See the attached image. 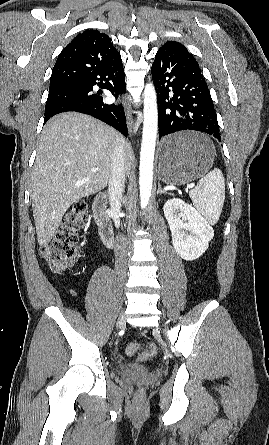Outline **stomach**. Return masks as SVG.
I'll use <instances>...</instances> for the list:
<instances>
[{
  "label": "stomach",
  "mask_w": 269,
  "mask_h": 445,
  "mask_svg": "<svg viewBox=\"0 0 269 445\" xmlns=\"http://www.w3.org/2000/svg\"><path fill=\"white\" fill-rule=\"evenodd\" d=\"M175 144L174 153L164 151ZM215 147L205 136L196 132H180L164 138L159 148V179L167 185H184L203 176L212 166Z\"/></svg>",
  "instance_id": "obj_1"
}]
</instances>
